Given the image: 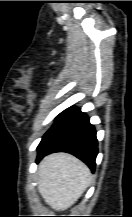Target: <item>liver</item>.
Here are the masks:
<instances>
[{"instance_id": "obj_1", "label": "liver", "mask_w": 132, "mask_h": 217, "mask_svg": "<svg viewBox=\"0 0 132 217\" xmlns=\"http://www.w3.org/2000/svg\"><path fill=\"white\" fill-rule=\"evenodd\" d=\"M91 171L67 153L46 156L38 168V191L52 209L64 211L82 196L91 183Z\"/></svg>"}]
</instances>
